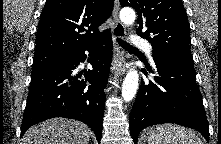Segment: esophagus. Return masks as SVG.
I'll return each mask as SVG.
<instances>
[{
    "mask_svg": "<svg viewBox=\"0 0 221 144\" xmlns=\"http://www.w3.org/2000/svg\"><path fill=\"white\" fill-rule=\"evenodd\" d=\"M119 0L114 1V7H113V20H114V26H113V41L115 46V54L112 62L111 71L113 74L117 75H123L125 72V64H126V56L124 54V51L120 49L117 43L118 38H125L126 37V29L124 25L119 20Z\"/></svg>",
    "mask_w": 221,
    "mask_h": 144,
    "instance_id": "esophagus-1",
    "label": "esophagus"
}]
</instances>
